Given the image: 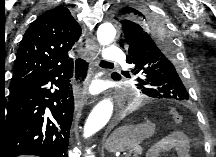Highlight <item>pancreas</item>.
<instances>
[{
  "label": "pancreas",
  "instance_id": "cf45deb5",
  "mask_svg": "<svg viewBox=\"0 0 216 157\" xmlns=\"http://www.w3.org/2000/svg\"><path fill=\"white\" fill-rule=\"evenodd\" d=\"M134 153L133 157H138V155H140L142 153V149L139 148H135L134 150L130 151L127 155V157H131V154Z\"/></svg>",
  "mask_w": 216,
  "mask_h": 157
}]
</instances>
